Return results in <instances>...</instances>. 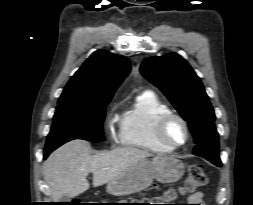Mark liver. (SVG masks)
Instances as JSON below:
<instances>
[{"instance_id": "obj_1", "label": "liver", "mask_w": 253, "mask_h": 205, "mask_svg": "<svg viewBox=\"0 0 253 205\" xmlns=\"http://www.w3.org/2000/svg\"><path fill=\"white\" fill-rule=\"evenodd\" d=\"M85 140H72L54 152L43 163V174L52 199L60 200L84 193L90 187L87 176L93 174V186L98 187L119 176L137 161L151 156L135 147L117 148L95 155L90 154Z\"/></svg>"}]
</instances>
